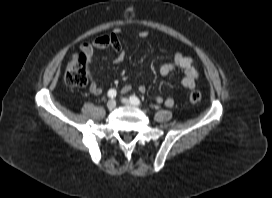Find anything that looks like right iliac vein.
Instances as JSON below:
<instances>
[{
    "instance_id": "1",
    "label": "right iliac vein",
    "mask_w": 272,
    "mask_h": 198,
    "mask_svg": "<svg viewBox=\"0 0 272 198\" xmlns=\"http://www.w3.org/2000/svg\"><path fill=\"white\" fill-rule=\"evenodd\" d=\"M107 107H108V109H110V110L114 109V108L116 107V101L113 100V99L109 100V101L107 102Z\"/></svg>"
}]
</instances>
